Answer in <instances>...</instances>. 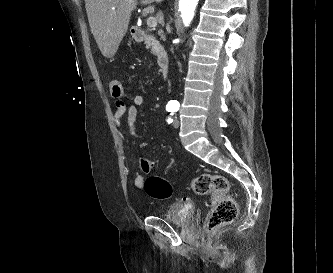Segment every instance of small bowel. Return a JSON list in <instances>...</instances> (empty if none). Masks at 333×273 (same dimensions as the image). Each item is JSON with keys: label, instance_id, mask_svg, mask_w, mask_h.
<instances>
[{"label": "small bowel", "instance_id": "small-bowel-1", "mask_svg": "<svg viewBox=\"0 0 333 273\" xmlns=\"http://www.w3.org/2000/svg\"><path fill=\"white\" fill-rule=\"evenodd\" d=\"M114 101L117 103V109L113 114V122L118 130L119 136L123 143L126 140V134L122 129L123 120H126V126L129 130V134L134 138H139V134L135 131L134 125L139 113V109L145 103L144 95L138 94L133 98L131 105L128 107L124 106V103L121 101L119 96L114 98ZM152 163V162H151ZM144 177L141 174H136L133 179V184L136 188L142 189L144 187Z\"/></svg>", "mask_w": 333, "mask_h": 273}]
</instances>
